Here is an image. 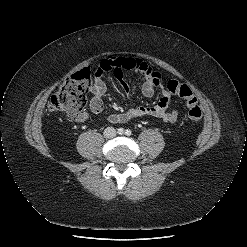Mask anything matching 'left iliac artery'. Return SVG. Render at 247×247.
<instances>
[{"label": "left iliac artery", "mask_w": 247, "mask_h": 247, "mask_svg": "<svg viewBox=\"0 0 247 247\" xmlns=\"http://www.w3.org/2000/svg\"><path fill=\"white\" fill-rule=\"evenodd\" d=\"M125 134H126L127 136H130V135L132 134V131H131L130 129H126V130H125Z\"/></svg>", "instance_id": "44dca946"}]
</instances>
